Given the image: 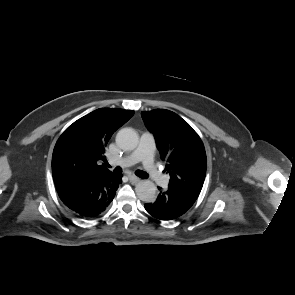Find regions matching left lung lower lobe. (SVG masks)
<instances>
[{
	"mask_svg": "<svg viewBox=\"0 0 295 295\" xmlns=\"http://www.w3.org/2000/svg\"><path fill=\"white\" fill-rule=\"evenodd\" d=\"M160 193L154 203L145 204L146 211L159 220H174L186 213L198 198V194L168 187Z\"/></svg>",
	"mask_w": 295,
	"mask_h": 295,
	"instance_id": "obj_1",
	"label": "left lung lower lobe"
}]
</instances>
